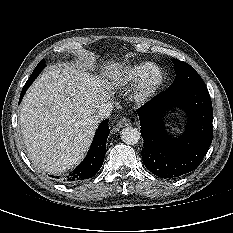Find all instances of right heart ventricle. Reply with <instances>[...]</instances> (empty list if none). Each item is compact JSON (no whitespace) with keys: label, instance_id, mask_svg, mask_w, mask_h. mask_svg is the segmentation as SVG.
<instances>
[{"label":"right heart ventricle","instance_id":"1","mask_svg":"<svg viewBox=\"0 0 233 233\" xmlns=\"http://www.w3.org/2000/svg\"><path fill=\"white\" fill-rule=\"evenodd\" d=\"M154 67L155 65L149 61L128 65L114 75V84L120 88L133 86L139 83Z\"/></svg>","mask_w":233,"mask_h":233}]
</instances>
